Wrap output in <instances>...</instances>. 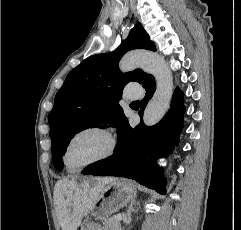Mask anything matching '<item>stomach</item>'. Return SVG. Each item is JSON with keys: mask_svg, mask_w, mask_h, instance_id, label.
Masks as SVG:
<instances>
[{"mask_svg": "<svg viewBox=\"0 0 241 230\" xmlns=\"http://www.w3.org/2000/svg\"><path fill=\"white\" fill-rule=\"evenodd\" d=\"M135 195V187L127 180H117L104 185L98 201L90 210L94 220L86 217L80 225V230H104V226L97 221L107 220L113 213L132 201Z\"/></svg>", "mask_w": 241, "mask_h": 230, "instance_id": "stomach-1", "label": "stomach"}]
</instances>
